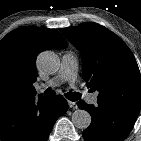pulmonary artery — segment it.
<instances>
[{"instance_id":"e3ab8cb5","label":"pulmonary artery","mask_w":141,"mask_h":141,"mask_svg":"<svg viewBox=\"0 0 141 141\" xmlns=\"http://www.w3.org/2000/svg\"><path fill=\"white\" fill-rule=\"evenodd\" d=\"M78 62L72 53H65L62 56L61 67L56 77L49 80L47 83L38 86L39 90H44L48 87L59 86L64 82L74 84L77 78ZM98 93L91 94L87 97V101L91 104L96 103Z\"/></svg>"}]
</instances>
